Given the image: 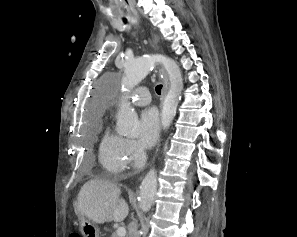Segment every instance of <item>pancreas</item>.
Listing matches in <instances>:
<instances>
[{
  "label": "pancreas",
  "instance_id": "obj_1",
  "mask_svg": "<svg viewBox=\"0 0 297 237\" xmlns=\"http://www.w3.org/2000/svg\"><path fill=\"white\" fill-rule=\"evenodd\" d=\"M111 237H118V235L113 233Z\"/></svg>",
  "mask_w": 297,
  "mask_h": 237
}]
</instances>
